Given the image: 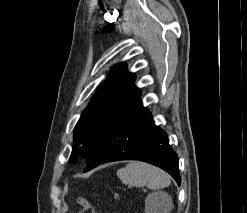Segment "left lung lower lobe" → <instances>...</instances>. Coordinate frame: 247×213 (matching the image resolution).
<instances>
[{
	"label": "left lung lower lobe",
	"mask_w": 247,
	"mask_h": 213,
	"mask_svg": "<svg viewBox=\"0 0 247 213\" xmlns=\"http://www.w3.org/2000/svg\"><path fill=\"white\" fill-rule=\"evenodd\" d=\"M140 160L168 172L180 185L177 154L167 134L156 126L152 114L139 98L94 143L86 157L87 172L111 161Z\"/></svg>",
	"instance_id": "0a47b994"
}]
</instances>
